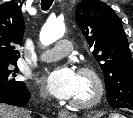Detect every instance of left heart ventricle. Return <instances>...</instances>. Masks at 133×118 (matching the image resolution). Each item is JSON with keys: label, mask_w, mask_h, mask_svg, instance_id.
<instances>
[{"label": "left heart ventricle", "mask_w": 133, "mask_h": 118, "mask_svg": "<svg viewBox=\"0 0 133 118\" xmlns=\"http://www.w3.org/2000/svg\"><path fill=\"white\" fill-rule=\"evenodd\" d=\"M92 94V85L90 81L79 75V87L76 95L74 96L73 100H86Z\"/></svg>", "instance_id": "obj_1"}]
</instances>
